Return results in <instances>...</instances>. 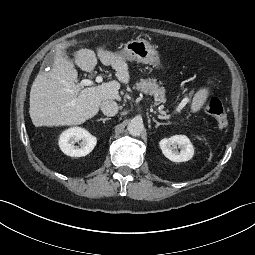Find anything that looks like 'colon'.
<instances>
[{"label": "colon", "mask_w": 255, "mask_h": 255, "mask_svg": "<svg viewBox=\"0 0 255 255\" xmlns=\"http://www.w3.org/2000/svg\"><path fill=\"white\" fill-rule=\"evenodd\" d=\"M204 107L214 117L219 129H225L228 126L227 113L220 99L215 94H208L206 96Z\"/></svg>", "instance_id": "obj_1"}]
</instances>
